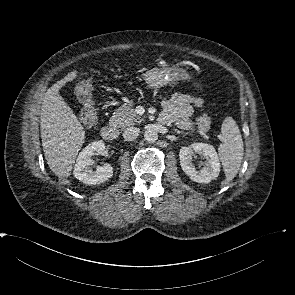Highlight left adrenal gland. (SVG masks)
I'll list each match as a JSON object with an SVG mask.
<instances>
[{
  "label": "left adrenal gland",
  "instance_id": "left-adrenal-gland-1",
  "mask_svg": "<svg viewBox=\"0 0 295 295\" xmlns=\"http://www.w3.org/2000/svg\"><path fill=\"white\" fill-rule=\"evenodd\" d=\"M175 132H177L178 134H182V135H186V132L180 131L178 129H174Z\"/></svg>",
  "mask_w": 295,
  "mask_h": 295
}]
</instances>
